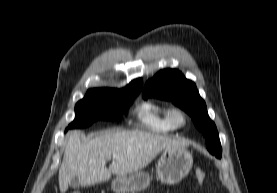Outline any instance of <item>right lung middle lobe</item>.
Masks as SVG:
<instances>
[{"mask_svg": "<svg viewBox=\"0 0 277 193\" xmlns=\"http://www.w3.org/2000/svg\"><path fill=\"white\" fill-rule=\"evenodd\" d=\"M137 95L138 93L108 94L88 91L76 104L75 119L68 128H85L97 120L113 121L132 104Z\"/></svg>", "mask_w": 277, "mask_h": 193, "instance_id": "1", "label": "right lung middle lobe"}]
</instances>
